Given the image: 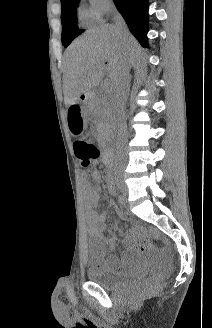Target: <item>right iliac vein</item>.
Returning <instances> with one entry per match:
<instances>
[{"label": "right iliac vein", "mask_w": 212, "mask_h": 328, "mask_svg": "<svg viewBox=\"0 0 212 328\" xmlns=\"http://www.w3.org/2000/svg\"><path fill=\"white\" fill-rule=\"evenodd\" d=\"M121 191L124 195H127V187L125 185H121Z\"/></svg>", "instance_id": "right-iliac-vein-1"}]
</instances>
